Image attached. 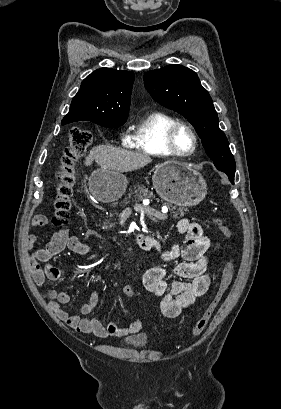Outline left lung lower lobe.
<instances>
[{"label": "left lung lower lobe", "mask_w": 281, "mask_h": 409, "mask_svg": "<svg viewBox=\"0 0 281 409\" xmlns=\"http://www.w3.org/2000/svg\"><path fill=\"white\" fill-rule=\"evenodd\" d=\"M224 172L228 175L231 183L234 184V175H235V173L227 172V171H224Z\"/></svg>", "instance_id": "0a47b994"}]
</instances>
